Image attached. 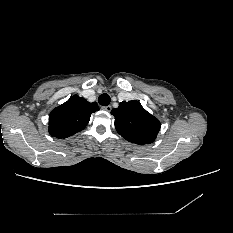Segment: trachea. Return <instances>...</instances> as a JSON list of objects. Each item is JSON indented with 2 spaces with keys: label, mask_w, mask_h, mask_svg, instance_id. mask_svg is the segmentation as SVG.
I'll list each match as a JSON object with an SVG mask.
<instances>
[{
  "label": "trachea",
  "mask_w": 233,
  "mask_h": 233,
  "mask_svg": "<svg viewBox=\"0 0 233 233\" xmlns=\"http://www.w3.org/2000/svg\"><path fill=\"white\" fill-rule=\"evenodd\" d=\"M98 102L102 106H108L111 102V98H110L109 94L103 93L99 96Z\"/></svg>",
  "instance_id": "1"
}]
</instances>
